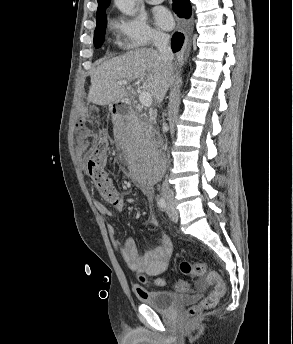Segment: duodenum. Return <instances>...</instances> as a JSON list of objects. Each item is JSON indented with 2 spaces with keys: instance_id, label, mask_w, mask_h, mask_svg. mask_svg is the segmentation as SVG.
I'll return each instance as SVG.
<instances>
[{
  "instance_id": "410a0bca",
  "label": "duodenum",
  "mask_w": 293,
  "mask_h": 344,
  "mask_svg": "<svg viewBox=\"0 0 293 344\" xmlns=\"http://www.w3.org/2000/svg\"><path fill=\"white\" fill-rule=\"evenodd\" d=\"M121 106H119L118 108H117V112H119V111H121ZM117 112H115V114H117Z\"/></svg>"
}]
</instances>
